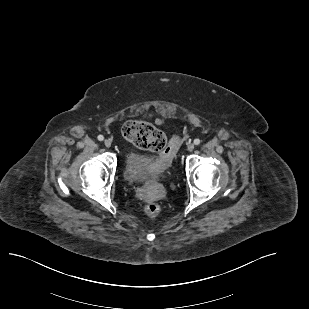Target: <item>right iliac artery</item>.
<instances>
[{
    "instance_id": "82829eb1",
    "label": "right iliac artery",
    "mask_w": 309,
    "mask_h": 309,
    "mask_svg": "<svg viewBox=\"0 0 309 309\" xmlns=\"http://www.w3.org/2000/svg\"><path fill=\"white\" fill-rule=\"evenodd\" d=\"M97 138H98L99 141H103L104 140L103 135H99Z\"/></svg>"
}]
</instances>
